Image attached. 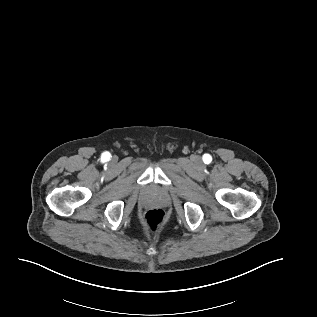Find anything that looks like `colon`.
I'll return each instance as SVG.
<instances>
[{"mask_svg": "<svg viewBox=\"0 0 317 317\" xmlns=\"http://www.w3.org/2000/svg\"><path fill=\"white\" fill-rule=\"evenodd\" d=\"M165 219V212L160 208L148 210L144 216L143 221L150 229L159 227Z\"/></svg>", "mask_w": 317, "mask_h": 317, "instance_id": "obj_1", "label": "colon"}]
</instances>
